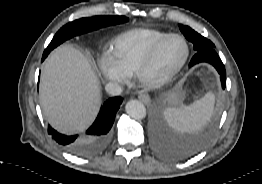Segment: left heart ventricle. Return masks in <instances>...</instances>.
<instances>
[{"label":"left heart ventricle","mask_w":262,"mask_h":184,"mask_svg":"<svg viewBox=\"0 0 262 184\" xmlns=\"http://www.w3.org/2000/svg\"><path fill=\"white\" fill-rule=\"evenodd\" d=\"M185 46L180 39H170L160 51L152 69V76H160L173 69L183 58Z\"/></svg>","instance_id":"1"}]
</instances>
